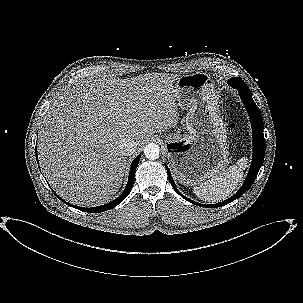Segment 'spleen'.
<instances>
[{
	"instance_id": "1",
	"label": "spleen",
	"mask_w": 303,
	"mask_h": 303,
	"mask_svg": "<svg viewBox=\"0 0 303 303\" xmlns=\"http://www.w3.org/2000/svg\"><path fill=\"white\" fill-rule=\"evenodd\" d=\"M248 167V159L242 157L236 165L213 176L204 183L193 188L195 195L201 200L216 203L227 199L243 179V170Z\"/></svg>"
}]
</instances>
